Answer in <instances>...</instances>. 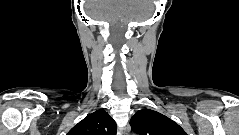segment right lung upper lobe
Instances as JSON below:
<instances>
[{"mask_svg": "<svg viewBox=\"0 0 239 135\" xmlns=\"http://www.w3.org/2000/svg\"><path fill=\"white\" fill-rule=\"evenodd\" d=\"M115 121L105 110H97L76 124L67 135H115Z\"/></svg>", "mask_w": 239, "mask_h": 135, "instance_id": "cb5924a9", "label": "right lung upper lobe"}]
</instances>
